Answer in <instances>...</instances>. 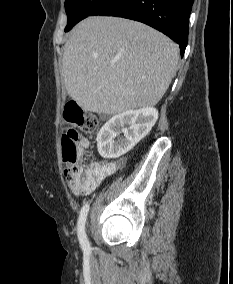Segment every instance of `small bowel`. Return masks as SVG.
Returning a JSON list of instances; mask_svg holds the SVG:
<instances>
[{
  "mask_svg": "<svg viewBox=\"0 0 233 284\" xmlns=\"http://www.w3.org/2000/svg\"><path fill=\"white\" fill-rule=\"evenodd\" d=\"M125 163L124 159L115 162H95L91 163L86 170V173L91 177L94 187H98L107 177L113 175Z\"/></svg>",
  "mask_w": 233,
  "mask_h": 284,
  "instance_id": "obj_1",
  "label": "small bowel"
}]
</instances>
